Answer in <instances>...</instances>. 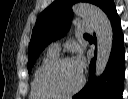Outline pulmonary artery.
<instances>
[{
	"mask_svg": "<svg viewBox=\"0 0 128 99\" xmlns=\"http://www.w3.org/2000/svg\"><path fill=\"white\" fill-rule=\"evenodd\" d=\"M77 30L80 32H92L94 30L93 25L89 22H78ZM49 51L54 53H59L60 42L56 41L49 45Z\"/></svg>",
	"mask_w": 128,
	"mask_h": 99,
	"instance_id": "obj_1",
	"label": "pulmonary artery"
}]
</instances>
